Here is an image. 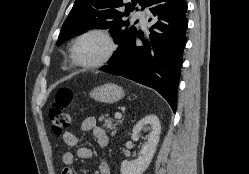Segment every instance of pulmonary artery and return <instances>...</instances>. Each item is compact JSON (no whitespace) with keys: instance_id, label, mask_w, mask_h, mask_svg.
Returning <instances> with one entry per match:
<instances>
[{"instance_id":"1","label":"pulmonary artery","mask_w":249,"mask_h":174,"mask_svg":"<svg viewBox=\"0 0 249 174\" xmlns=\"http://www.w3.org/2000/svg\"><path fill=\"white\" fill-rule=\"evenodd\" d=\"M135 19L140 21V24L145 27L147 24V11L145 10H138L133 14Z\"/></svg>"}]
</instances>
